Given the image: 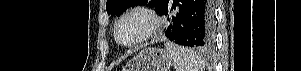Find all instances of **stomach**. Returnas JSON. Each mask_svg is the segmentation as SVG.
Listing matches in <instances>:
<instances>
[{
	"label": "stomach",
	"mask_w": 301,
	"mask_h": 71,
	"mask_svg": "<svg viewBox=\"0 0 301 71\" xmlns=\"http://www.w3.org/2000/svg\"><path fill=\"white\" fill-rule=\"evenodd\" d=\"M171 62L166 51L145 48L126 64L123 71H169Z\"/></svg>",
	"instance_id": "stomach-1"
}]
</instances>
